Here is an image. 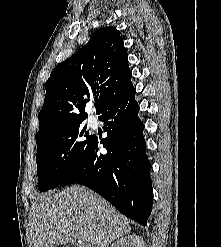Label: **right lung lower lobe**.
Masks as SVG:
<instances>
[{
	"instance_id": "right-lung-lower-lobe-1",
	"label": "right lung lower lobe",
	"mask_w": 221,
	"mask_h": 247,
	"mask_svg": "<svg viewBox=\"0 0 221 247\" xmlns=\"http://www.w3.org/2000/svg\"><path fill=\"white\" fill-rule=\"evenodd\" d=\"M135 92L133 89L102 111L99 120L104 122L107 137L99 141L92 136L60 186L85 185L122 214L146 226L152 211L153 188ZM100 143L107 153L99 151Z\"/></svg>"
}]
</instances>
